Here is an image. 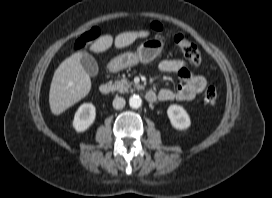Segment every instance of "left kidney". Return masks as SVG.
Masks as SVG:
<instances>
[{"mask_svg":"<svg viewBox=\"0 0 272 198\" xmlns=\"http://www.w3.org/2000/svg\"><path fill=\"white\" fill-rule=\"evenodd\" d=\"M167 115L171 125L177 130H185L191 125L190 117L182 106L170 105L167 109Z\"/></svg>","mask_w":272,"mask_h":198,"instance_id":"obj_1","label":"left kidney"}]
</instances>
